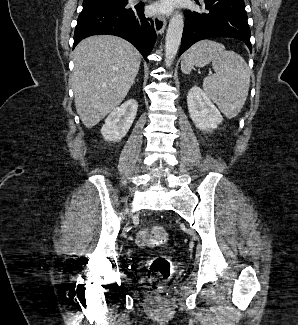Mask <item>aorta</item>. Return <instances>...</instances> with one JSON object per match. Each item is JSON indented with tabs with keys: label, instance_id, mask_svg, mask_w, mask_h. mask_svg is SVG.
<instances>
[{
	"label": "aorta",
	"instance_id": "762f6f07",
	"mask_svg": "<svg viewBox=\"0 0 298 325\" xmlns=\"http://www.w3.org/2000/svg\"><path fill=\"white\" fill-rule=\"evenodd\" d=\"M183 28H184L183 12H181V10H176V12L172 14L169 20V24L165 36V44H164L165 66H169V64H173V60L181 44Z\"/></svg>",
	"mask_w": 298,
	"mask_h": 325
}]
</instances>
